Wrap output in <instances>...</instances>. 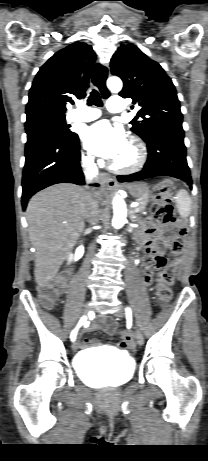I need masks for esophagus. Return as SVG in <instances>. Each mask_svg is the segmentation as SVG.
Segmentation results:
<instances>
[{"mask_svg":"<svg viewBox=\"0 0 208 461\" xmlns=\"http://www.w3.org/2000/svg\"><path fill=\"white\" fill-rule=\"evenodd\" d=\"M104 67L106 68V71H107V75H106V79H105V82H104V85H106V81H107V78L109 77V74H110V69H109V65L108 64H105ZM109 94V92H108ZM99 178H100V181L101 183L106 187V188H114L116 185H117V181L115 178L111 177L109 174L107 173H100L99 174Z\"/></svg>","mask_w":208,"mask_h":461,"instance_id":"obj_1","label":"esophagus"}]
</instances>
